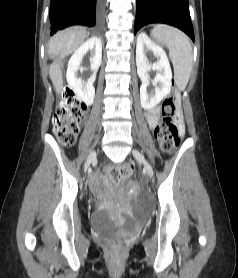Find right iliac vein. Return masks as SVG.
<instances>
[{
    "label": "right iliac vein",
    "instance_id": "obj_1",
    "mask_svg": "<svg viewBox=\"0 0 238 278\" xmlns=\"http://www.w3.org/2000/svg\"><path fill=\"white\" fill-rule=\"evenodd\" d=\"M95 151H91L90 154L88 155L87 157V160H86V166H84V171H87V169H89L90 167V161L95 157Z\"/></svg>",
    "mask_w": 238,
    "mask_h": 278
}]
</instances>
